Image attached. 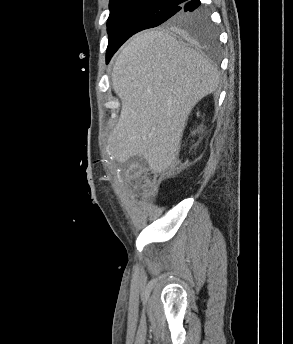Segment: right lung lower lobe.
<instances>
[{
	"label": "right lung lower lobe",
	"mask_w": 293,
	"mask_h": 344,
	"mask_svg": "<svg viewBox=\"0 0 293 344\" xmlns=\"http://www.w3.org/2000/svg\"><path fill=\"white\" fill-rule=\"evenodd\" d=\"M200 6V0H192V1H187L181 6V11L187 12V13H193V12H198L201 11L202 8ZM110 59H107V62Z\"/></svg>",
	"instance_id": "obj_1"
}]
</instances>
